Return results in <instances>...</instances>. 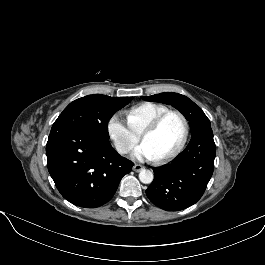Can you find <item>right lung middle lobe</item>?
Segmentation results:
<instances>
[{
	"instance_id": "1",
	"label": "right lung middle lobe",
	"mask_w": 265,
	"mask_h": 265,
	"mask_svg": "<svg viewBox=\"0 0 265 265\" xmlns=\"http://www.w3.org/2000/svg\"><path fill=\"white\" fill-rule=\"evenodd\" d=\"M132 100L107 98L101 94L88 95L70 103L54 122L51 132L74 127L109 139L107 122L113 114Z\"/></svg>"
}]
</instances>
